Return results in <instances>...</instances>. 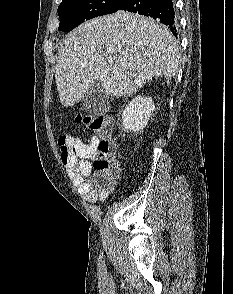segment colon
Instances as JSON below:
<instances>
[{
  "label": "colon",
  "mask_w": 233,
  "mask_h": 294,
  "mask_svg": "<svg viewBox=\"0 0 233 294\" xmlns=\"http://www.w3.org/2000/svg\"><path fill=\"white\" fill-rule=\"evenodd\" d=\"M75 121L82 123L93 135V181L98 185H107L118 173L115 159V145L107 135L108 120L104 116L77 114ZM61 158L66 159L68 148L60 141Z\"/></svg>",
  "instance_id": "colon-1"
}]
</instances>
